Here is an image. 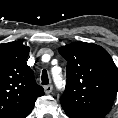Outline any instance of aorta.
<instances>
[{
  "label": "aorta",
  "instance_id": "obj_1",
  "mask_svg": "<svg viewBox=\"0 0 118 118\" xmlns=\"http://www.w3.org/2000/svg\"><path fill=\"white\" fill-rule=\"evenodd\" d=\"M52 75H53V80H54L55 85L58 88H63L65 85V81L63 80L61 75L59 73H56L54 70L52 71Z\"/></svg>",
  "mask_w": 118,
  "mask_h": 118
}]
</instances>
